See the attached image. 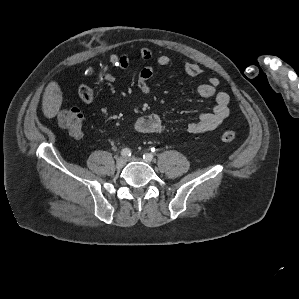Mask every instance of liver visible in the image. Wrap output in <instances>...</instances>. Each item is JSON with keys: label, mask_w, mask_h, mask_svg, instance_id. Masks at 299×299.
I'll use <instances>...</instances> for the list:
<instances>
[{"label": "liver", "mask_w": 299, "mask_h": 299, "mask_svg": "<svg viewBox=\"0 0 299 299\" xmlns=\"http://www.w3.org/2000/svg\"><path fill=\"white\" fill-rule=\"evenodd\" d=\"M61 88L57 82L51 81L45 88L42 101V111L47 118L55 117L62 104Z\"/></svg>", "instance_id": "1"}]
</instances>
